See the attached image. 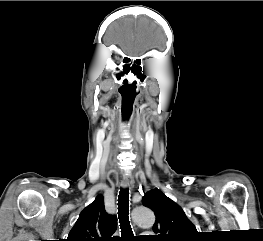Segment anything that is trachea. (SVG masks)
Instances as JSON below:
<instances>
[{"label":"trachea","mask_w":263,"mask_h":241,"mask_svg":"<svg viewBox=\"0 0 263 241\" xmlns=\"http://www.w3.org/2000/svg\"><path fill=\"white\" fill-rule=\"evenodd\" d=\"M118 218L121 229L119 241H133L134 235L129 221V191L120 189L118 196Z\"/></svg>","instance_id":"1"}]
</instances>
